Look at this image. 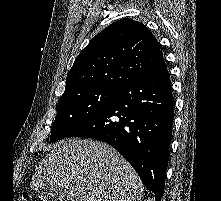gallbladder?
I'll list each match as a JSON object with an SVG mask.
<instances>
[{
    "mask_svg": "<svg viewBox=\"0 0 221 201\" xmlns=\"http://www.w3.org/2000/svg\"><path fill=\"white\" fill-rule=\"evenodd\" d=\"M38 196L42 201H58L62 198V192L57 186L49 185L39 189Z\"/></svg>",
    "mask_w": 221,
    "mask_h": 201,
    "instance_id": "1",
    "label": "gallbladder"
}]
</instances>
